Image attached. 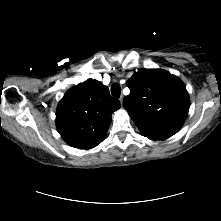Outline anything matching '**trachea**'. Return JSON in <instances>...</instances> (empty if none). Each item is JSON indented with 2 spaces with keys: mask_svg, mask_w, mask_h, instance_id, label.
Segmentation results:
<instances>
[{
  "mask_svg": "<svg viewBox=\"0 0 221 221\" xmlns=\"http://www.w3.org/2000/svg\"><path fill=\"white\" fill-rule=\"evenodd\" d=\"M111 94L114 96V97H119L120 94H121V87L119 84L115 83L112 85L111 87Z\"/></svg>",
  "mask_w": 221,
  "mask_h": 221,
  "instance_id": "1",
  "label": "trachea"
}]
</instances>
